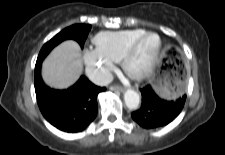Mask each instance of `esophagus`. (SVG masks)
Returning a JSON list of instances; mask_svg holds the SVG:
<instances>
[{
    "instance_id": "34e87169",
    "label": "esophagus",
    "mask_w": 225,
    "mask_h": 155,
    "mask_svg": "<svg viewBox=\"0 0 225 155\" xmlns=\"http://www.w3.org/2000/svg\"><path fill=\"white\" fill-rule=\"evenodd\" d=\"M112 91H119V92H124L125 88L121 87V86H112L110 88Z\"/></svg>"
}]
</instances>
